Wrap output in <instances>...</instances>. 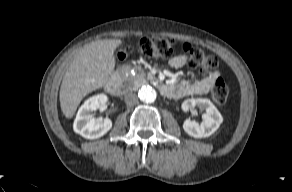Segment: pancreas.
<instances>
[{"label":"pancreas","instance_id":"pancreas-1","mask_svg":"<svg viewBox=\"0 0 292 192\" xmlns=\"http://www.w3.org/2000/svg\"><path fill=\"white\" fill-rule=\"evenodd\" d=\"M148 80H153V76L148 75ZM134 84H142L146 81L145 73L143 71L137 73L134 77L131 78Z\"/></svg>","mask_w":292,"mask_h":192}]
</instances>
